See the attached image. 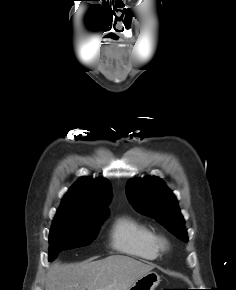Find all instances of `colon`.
Listing matches in <instances>:
<instances>
[{
  "label": "colon",
  "mask_w": 236,
  "mask_h": 290,
  "mask_svg": "<svg viewBox=\"0 0 236 290\" xmlns=\"http://www.w3.org/2000/svg\"><path fill=\"white\" fill-rule=\"evenodd\" d=\"M164 290H177V289H164Z\"/></svg>",
  "instance_id": "5ec220e1"
}]
</instances>
